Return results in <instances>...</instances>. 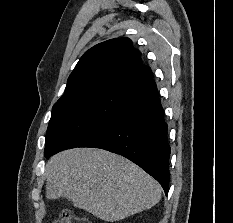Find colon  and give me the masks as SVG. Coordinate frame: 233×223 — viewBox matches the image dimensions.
I'll return each mask as SVG.
<instances>
[{"label":"colon","mask_w":233,"mask_h":223,"mask_svg":"<svg viewBox=\"0 0 233 223\" xmlns=\"http://www.w3.org/2000/svg\"><path fill=\"white\" fill-rule=\"evenodd\" d=\"M57 223H92V221L85 218H77L71 210L63 209Z\"/></svg>","instance_id":"5ec220e1"}]
</instances>
